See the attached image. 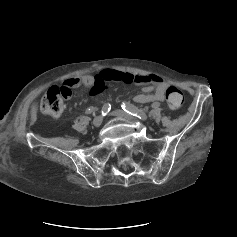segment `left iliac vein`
Here are the masks:
<instances>
[{
  "label": "left iliac vein",
  "instance_id": "4c4485c4",
  "mask_svg": "<svg viewBox=\"0 0 237 237\" xmlns=\"http://www.w3.org/2000/svg\"><path fill=\"white\" fill-rule=\"evenodd\" d=\"M112 114L116 117H119V118H124V119L132 120V121L137 120L136 118L132 117L131 115H129L128 113H126V112H124L123 110H120V109L114 110L112 112Z\"/></svg>",
  "mask_w": 237,
  "mask_h": 237
}]
</instances>
